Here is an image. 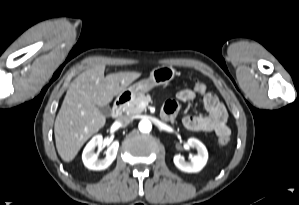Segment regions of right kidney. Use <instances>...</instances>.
I'll return each instance as SVG.
<instances>
[{
    "label": "right kidney",
    "instance_id": "ca27d5eb",
    "mask_svg": "<svg viewBox=\"0 0 299 205\" xmlns=\"http://www.w3.org/2000/svg\"><path fill=\"white\" fill-rule=\"evenodd\" d=\"M103 143L102 135L94 136L86 145L82 153V160L88 169L91 170H104L108 168L115 160L119 148V142H112L106 150L104 159H99L98 154L94 153L96 147H100Z\"/></svg>",
    "mask_w": 299,
    "mask_h": 205
}]
</instances>
